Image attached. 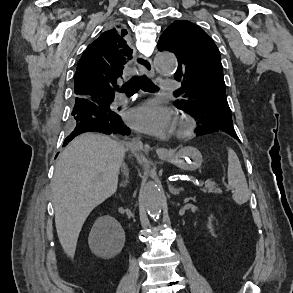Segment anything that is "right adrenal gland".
<instances>
[{"instance_id": "1", "label": "right adrenal gland", "mask_w": 293, "mask_h": 293, "mask_svg": "<svg viewBox=\"0 0 293 293\" xmlns=\"http://www.w3.org/2000/svg\"><path fill=\"white\" fill-rule=\"evenodd\" d=\"M122 172L125 175L126 180L124 182H121L120 187H125L127 182H128L129 172H128V169H127V167H126V165L124 163L122 164Z\"/></svg>"}]
</instances>
